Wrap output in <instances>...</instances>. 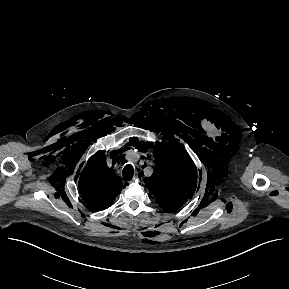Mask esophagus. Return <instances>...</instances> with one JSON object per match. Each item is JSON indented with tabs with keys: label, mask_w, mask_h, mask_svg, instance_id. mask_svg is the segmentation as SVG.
<instances>
[{
	"label": "esophagus",
	"mask_w": 289,
	"mask_h": 289,
	"mask_svg": "<svg viewBox=\"0 0 289 289\" xmlns=\"http://www.w3.org/2000/svg\"><path fill=\"white\" fill-rule=\"evenodd\" d=\"M132 181H136L138 182L139 181V177H138V174L134 176L133 180Z\"/></svg>",
	"instance_id": "34e87169"
}]
</instances>
